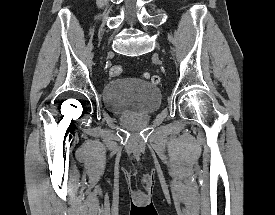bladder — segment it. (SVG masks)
<instances>
[{
  "label": "bladder",
  "mask_w": 275,
  "mask_h": 215,
  "mask_svg": "<svg viewBox=\"0 0 275 215\" xmlns=\"http://www.w3.org/2000/svg\"><path fill=\"white\" fill-rule=\"evenodd\" d=\"M103 103L116 115H149L161 104V93L148 80L113 79L102 90Z\"/></svg>",
  "instance_id": "1"
}]
</instances>
